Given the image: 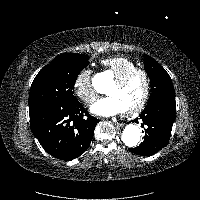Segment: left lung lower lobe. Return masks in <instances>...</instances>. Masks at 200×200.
<instances>
[{"label":"left lung lower lobe","instance_id":"obj_1","mask_svg":"<svg viewBox=\"0 0 200 200\" xmlns=\"http://www.w3.org/2000/svg\"><path fill=\"white\" fill-rule=\"evenodd\" d=\"M175 114V97L163 96L148 102L140 114V119L143 121L142 127L146 126L144 141L129 151L147 156L165 147L171 136Z\"/></svg>","mask_w":200,"mask_h":200}]
</instances>
